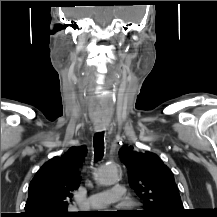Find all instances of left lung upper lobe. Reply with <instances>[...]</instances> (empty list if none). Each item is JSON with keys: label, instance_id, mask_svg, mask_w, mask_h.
<instances>
[{"label": "left lung upper lobe", "instance_id": "left-lung-upper-lobe-1", "mask_svg": "<svg viewBox=\"0 0 217 217\" xmlns=\"http://www.w3.org/2000/svg\"><path fill=\"white\" fill-rule=\"evenodd\" d=\"M119 155L128 169L130 186L143 200L145 216L183 217L184 208L173 173L156 154L124 146Z\"/></svg>", "mask_w": 217, "mask_h": 217}]
</instances>
